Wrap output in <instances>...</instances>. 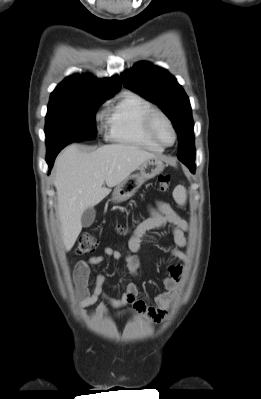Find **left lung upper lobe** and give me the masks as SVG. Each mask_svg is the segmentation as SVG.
Returning <instances> with one entry per match:
<instances>
[{"label": "left lung upper lobe", "instance_id": "obj_1", "mask_svg": "<svg viewBox=\"0 0 261 399\" xmlns=\"http://www.w3.org/2000/svg\"><path fill=\"white\" fill-rule=\"evenodd\" d=\"M123 85L163 109L178 135V159L195 160L193 119L189 98L167 70L147 62L136 63L121 74Z\"/></svg>", "mask_w": 261, "mask_h": 399}]
</instances>
